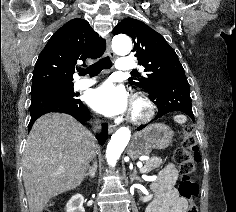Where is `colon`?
<instances>
[{"label":"colon","mask_w":236,"mask_h":212,"mask_svg":"<svg viewBox=\"0 0 236 212\" xmlns=\"http://www.w3.org/2000/svg\"><path fill=\"white\" fill-rule=\"evenodd\" d=\"M174 161L183 174L179 192L182 197L189 201L187 212H199L198 206L194 201L198 194V186L190 175L194 172L196 164L200 161V154L199 146L196 143L191 127L185 128L181 137V144L174 153ZM44 212H50V210L46 209Z\"/></svg>","instance_id":"1"}]
</instances>
